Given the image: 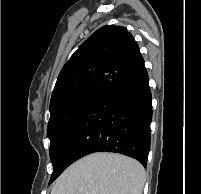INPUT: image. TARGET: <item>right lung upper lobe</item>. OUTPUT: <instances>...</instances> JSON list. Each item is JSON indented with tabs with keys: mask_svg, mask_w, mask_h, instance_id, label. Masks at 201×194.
I'll use <instances>...</instances> for the list:
<instances>
[{
	"mask_svg": "<svg viewBox=\"0 0 201 194\" xmlns=\"http://www.w3.org/2000/svg\"><path fill=\"white\" fill-rule=\"evenodd\" d=\"M143 62L137 42L125 27H101L63 66L50 109L76 97L102 94Z\"/></svg>",
	"mask_w": 201,
	"mask_h": 194,
	"instance_id": "right-lung-upper-lobe-1",
	"label": "right lung upper lobe"
}]
</instances>
